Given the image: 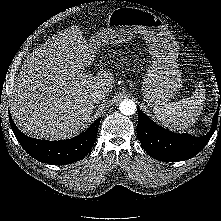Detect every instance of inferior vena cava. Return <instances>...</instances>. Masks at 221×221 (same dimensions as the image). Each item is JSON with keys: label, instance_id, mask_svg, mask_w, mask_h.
Masks as SVG:
<instances>
[{"label": "inferior vena cava", "instance_id": "1", "mask_svg": "<svg viewBox=\"0 0 221 221\" xmlns=\"http://www.w3.org/2000/svg\"><path fill=\"white\" fill-rule=\"evenodd\" d=\"M106 96V93L103 90H96L93 93H91V100L94 103H99L100 101L104 100Z\"/></svg>", "mask_w": 221, "mask_h": 221}]
</instances>
